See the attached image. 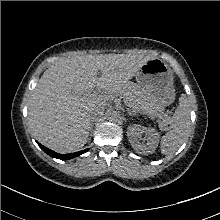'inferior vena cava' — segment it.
<instances>
[{
    "mask_svg": "<svg viewBox=\"0 0 220 220\" xmlns=\"http://www.w3.org/2000/svg\"><path fill=\"white\" fill-rule=\"evenodd\" d=\"M104 111H105L104 106H99V107L94 108L90 112V121H95V120L99 119L101 116H103Z\"/></svg>",
    "mask_w": 220,
    "mask_h": 220,
    "instance_id": "602c4592",
    "label": "inferior vena cava"
}]
</instances>
